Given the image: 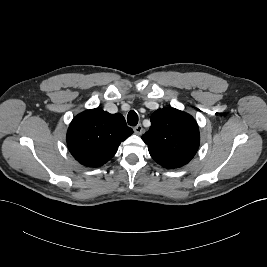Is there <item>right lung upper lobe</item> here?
<instances>
[{
    "label": "right lung upper lobe",
    "instance_id": "right-lung-upper-lobe-1",
    "mask_svg": "<svg viewBox=\"0 0 267 267\" xmlns=\"http://www.w3.org/2000/svg\"><path fill=\"white\" fill-rule=\"evenodd\" d=\"M132 133L122 114L95 108L73 118L67 132V146L82 165L99 167L115 155L120 143Z\"/></svg>",
    "mask_w": 267,
    "mask_h": 267
}]
</instances>
